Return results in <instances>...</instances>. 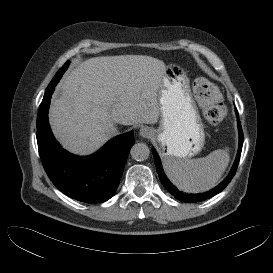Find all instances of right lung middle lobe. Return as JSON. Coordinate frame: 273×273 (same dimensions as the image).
Returning a JSON list of instances; mask_svg holds the SVG:
<instances>
[{
    "mask_svg": "<svg viewBox=\"0 0 273 273\" xmlns=\"http://www.w3.org/2000/svg\"><path fill=\"white\" fill-rule=\"evenodd\" d=\"M69 61H67L64 66L56 73L52 81L50 82L47 90H50L51 88L55 87L57 83L59 82L60 78L62 77L63 73L66 71L68 68Z\"/></svg>",
    "mask_w": 273,
    "mask_h": 273,
    "instance_id": "right-lung-middle-lobe-1",
    "label": "right lung middle lobe"
}]
</instances>
